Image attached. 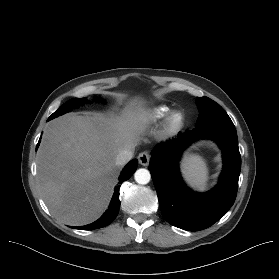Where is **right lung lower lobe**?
I'll use <instances>...</instances> for the list:
<instances>
[{
  "mask_svg": "<svg viewBox=\"0 0 279 279\" xmlns=\"http://www.w3.org/2000/svg\"><path fill=\"white\" fill-rule=\"evenodd\" d=\"M40 139H41V137H40ZM39 142H40V140H39ZM39 142L37 144L36 149L39 146ZM137 164H138V160L134 159L131 162H129L123 169L121 175L119 176V185L115 187L110 206L107 209V211L102 215V217L92 224H89L86 226H81V227H73V228L80 229V230H92V229L102 228V227H105V226L111 224L113 222V220L116 218V216L119 212V208H120V200H119L120 184H122V182L128 180L131 177V175H133V173L137 169Z\"/></svg>",
  "mask_w": 279,
  "mask_h": 279,
  "instance_id": "1",
  "label": "right lung lower lobe"
}]
</instances>
